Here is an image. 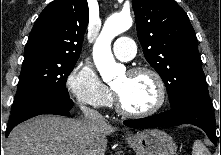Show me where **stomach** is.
I'll use <instances>...</instances> for the list:
<instances>
[{
  "label": "stomach",
  "instance_id": "stomach-1",
  "mask_svg": "<svg viewBox=\"0 0 221 155\" xmlns=\"http://www.w3.org/2000/svg\"><path fill=\"white\" fill-rule=\"evenodd\" d=\"M136 155H176L177 146L164 131L146 129L126 138Z\"/></svg>",
  "mask_w": 221,
  "mask_h": 155
}]
</instances>
